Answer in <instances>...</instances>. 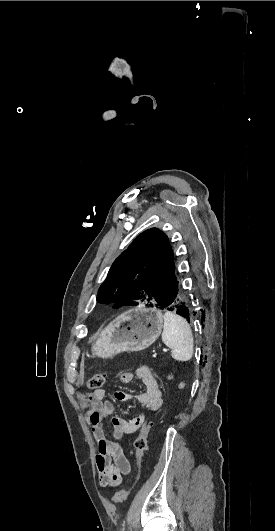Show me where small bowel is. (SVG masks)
Here are the masks:
<instances>
[{
	"label": "small bowel",
	"instance_id": "1",
	"mask_svg": "<svg viewBox=\"0 0 275 531\" xmlns=\"http://www.w3.org/2000/svg\"><path fill=\"white\" fill-rule=\"evenodd\" d=\"M136 376L142 381L145 390L138 394L127 392L122 394V401L135 400L151 412H157L162 407V392L159 383L152 371L147 366H141L136 370ZM120 382L128 384L133 380L131 372H123L119 377ZM104 389L95 390L84 397L87 403L86 421L91 426L92 435L96 442L97 455L96 467L99 473L100 483L103 486H117L124 476L131 471V458L133 449L128 442L126 453L118 442L137 429L142 427V420L147 418L141 413L131 420L115 414L114 403L105 399ZM111 417L110 433L112 439L106 436V421Z\"/></svg>",
	"mask_w": 275,
	"mask_h": 531
}]
</instances>
